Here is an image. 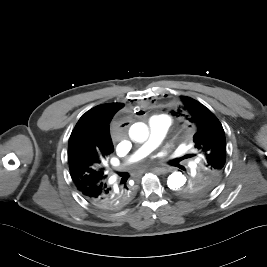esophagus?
Returning a JSON list of instances; mask_svg holds the SVG:
<instances>
[{
  "label": "esophagus",
  "mask_w": 267,
  "mask_h": 267,
  "mask_svg": "<svg viewBox=\"0 0 267 267\" xmlns=\"http://www.w3.org/2000/svg\"><path fill=\"white\" fill-rule=\"evenodd\" d=\"M152 171L157 174H165L169 172V168L166 167H154L152 168Z\"/></svg>",
  "instance_id": "obj_1"
}]
</instances>
